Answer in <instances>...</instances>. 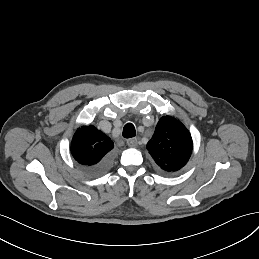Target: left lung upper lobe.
Segmentation results:
<instances>
[{
	"mask_svg": "<svg viewBox=\"0 0 259 259\" xmlns=\"http://www.w3.org/2000/svg\"><path fill=\"white\" fill-rule=\"evenodd\" d=\"M192 138L186 127L176 118L162 117L156 125L147 150L165 172H176L188 162L192 152Z\"/></svg>",
	"mask_w": 259,
	"mask_h": 259,
	"instance_id": "1",
	"label": "left lung upper lobe"
}]
</instances>
